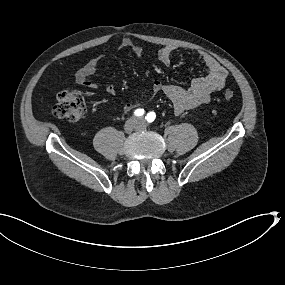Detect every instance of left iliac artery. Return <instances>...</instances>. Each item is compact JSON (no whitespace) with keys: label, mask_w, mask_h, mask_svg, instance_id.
<instances>
[{"label":"left iliac artery","mask_w":285,"mask_h":285,"mask_svg":"<svg viewBox=\"0 0 285 285\" xmlns=\"http://www.w3.org/2000/svg\"><path fill=\"white\" fill-rule=\"evenodd\" d=\"M155 117H156V114H155L154 112H149V113L147 114V116L145 117V119H146L149 123H151V122H153V121L155 120Z\"/></svg>","instance_id":"1"}]
</instances>
